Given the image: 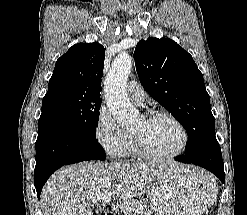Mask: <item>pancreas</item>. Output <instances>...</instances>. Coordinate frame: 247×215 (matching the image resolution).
Returning <instances> with one entry per match:
<instances>
[{
	"label": "pancreas",
	"mask_w": 247,
	"mask_h": 215,
	"mask_svg": "<svg viewBox=\"0 0 247 215\" xmlns=\"http://www.w3.org/2000/svg\"><path fill=\"white\" fill-rule=\"evenodd\" d=\"M122 215H152L150 206L141 200H134L122 210Z\"/></svg>",
	"instance_id": "cf45deb5"
}]
</instances>
